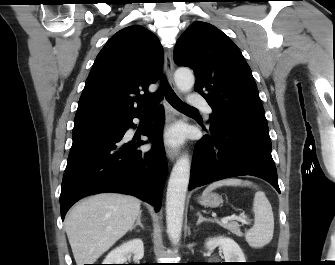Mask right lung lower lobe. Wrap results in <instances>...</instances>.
<instances>
[{
	"label": "right lung lower lobe",
	"instance_id": "98d812e1",
	"mask_svg": "<svg viewBox=\"0 0 335 265\" xmlns=\"http://www.w3.org/2000/svg\"><path fill=\"white\" fill-rule=\"evenodd\" d=\"M157 112L152 119L154 123L143 132L155 140L148 151L139 150L148 141L124 139L126 131L135 126L133 118L118 123L114 132L73 139L61 186L62 220L76 201L101 192L133 195L159 211L167 161L161 139L164 121L161 106Z\"/></svg>",
	"mask_w": 335,
	"mask_h": 265
}]
</instances>
